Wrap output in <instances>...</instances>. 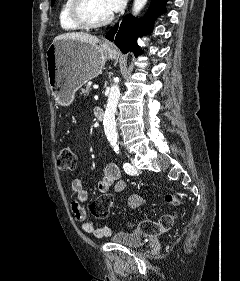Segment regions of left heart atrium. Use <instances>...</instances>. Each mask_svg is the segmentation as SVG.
Segmentation results:
<instances>
[{
    "mask_svg": "<svg viewBox=\"0 0 240 281\" xmlns=\"http://www.w3.org/2000/svg\"><path fill=\"white\" fill-rule=\"evenodd\" d=\"M111 13L118 12L125 6L127 0H105Z\"/></svg>",
    "mask_w": 240,
    "mask_h": 281,
    "instance_id": "1",
    "label": "left heart atrium"
}]
</instances>
